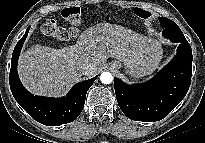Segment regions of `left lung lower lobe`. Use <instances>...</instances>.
I'll return each instance as SVG.
<instances>
[{"label":"left lung lower lobe","instance_id":"1","mask_svg":"<svg viewBox=\"0 0 205 143\" xmlns=\"http://www.w3.org/2000/svg\"><path fill=\"white\" fill-rule=\"evenodd\" d=\"M163 36L178 42L177 55L152 80L129 86L114 78L115 94L122 112L135 121H159L185 97L192 75V50L178 26L165 27Z\"/></svg>","mask_w":205,"mask_h":143}]
</instances>
